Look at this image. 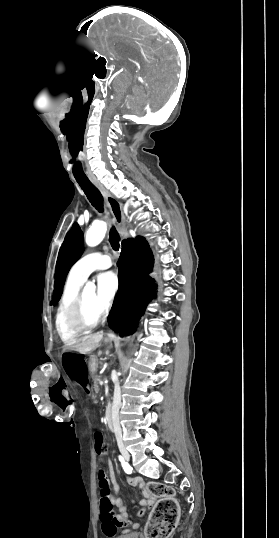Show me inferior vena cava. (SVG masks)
Segmentation results:
<instances>
[{"instance_id": "602c4592", "label": "inferior vena cava", "mask_w": 279, "mask_h": 538, "mask_svg": "<svg viewBox=\"0 0 279 538\" xmlns=\"http://www.w3.org/2000/svg\"><path fill=\"white\" fill-rule=\"evenodd\" d=\"M113 373H115V371H113ZM115 381H117V380H114L113 382H115ZM120 403H121L120 387H119V384L116 383L115 384L114 401H113L114 405L112 406V416H111L112 423H113V426H114V429H112V431L115 432L120 452L123 455L121 457L125 458V459H128L130 455L125 452L126 447H124V444L122 442L124 440H123V437H121V434H122V430L120 428L121 422L119 423V414H118L119 408H120Z\"/></svg>"}]
</instances>
